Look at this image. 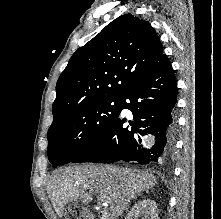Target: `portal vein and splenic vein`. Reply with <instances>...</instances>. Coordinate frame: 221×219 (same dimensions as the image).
<instances>
[{
    "label": "portal vein and splenic vein",
    "mask_w": 221,
    "mask_h": 219,
    "mask_svg": "<svg viewBox=\"0 0 221 219\" xmlns=\"http://www.w3.org/2000/svg\"><path fill=\"white\" fill-rule=\"evenodd\" d=\"M101 205L108 206L107 202H105L104 200H101Z\"/></svg>",
    "instance_id": "obj_1"
}]
</instances>
